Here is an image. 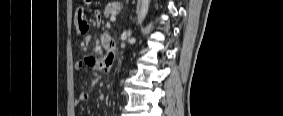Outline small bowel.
Masks as SVG:
<instances>
[{
  "label": "small bowel",
  "mask_w": 283,
  "mask_h": 116,
  "mask_svg": "<svg viewBox=\"0 0 283 116\" xmlns=\"http://www.w3.org/2000/svg\"><path fill=\"white\" fill-rule=\"evenodd\" d=\"M98 14V13H97ZM99 17V14H98ZM76 19L78 21V25L76 28V35L77 37H84L86 34L89 26L88 23L85 20V14L83 9H78L76 12ZM105 41V36L102 37V43ZM112 59L110 55L104 58H94L91 56L84 57L82 60L78 61L75 64V69L77 71L83 70L85 67H90L94 71L98 72H107V70L110 69V66L112 64ZM91 98V94L88 91H82L77 100L76 104H79L80 102H87Z\"/></svg>",
  "instance_id": "obj_1"
}]
</instances>
